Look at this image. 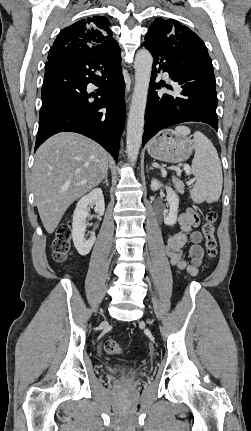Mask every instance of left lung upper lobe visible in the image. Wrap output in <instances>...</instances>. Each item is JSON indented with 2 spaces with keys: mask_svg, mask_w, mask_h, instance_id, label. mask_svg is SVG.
Here are the masks:
<instances>
[{
  "mask_svg": "<svg viewBox=\"0 0 251 431\" xmlns=\"http://www.w3.org/2000/svg\"><path fill=\"white\" fill-rule=\"evenodd\" d=\"M145 41L178 52L187 59L212 65L204 42L188 27L173 19L157 18L149 27Z\"/></svg>",
  "mask_w": 251,
  "mask_h": 431,
  "instance_id": "1",
  "label": "left lung upper lobe"
}]
</instances>
